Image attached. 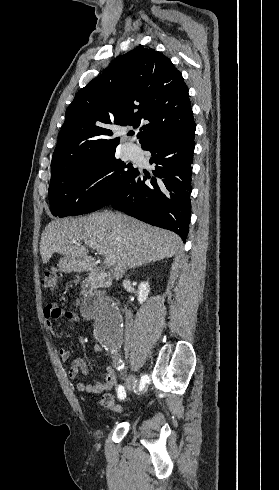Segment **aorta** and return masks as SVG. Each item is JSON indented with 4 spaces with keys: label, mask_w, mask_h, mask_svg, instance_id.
Masks as SVG:
<instances>
[{
    "label": "aorta",
    "mask_w": 279,
    "mask_h": 490,
    "mask_svg": "<svg viewBox=\"0 0 279 490\" xmlns=\"http://www.w3.org/2000/svg\"><path fill=\"white\" fill-rule=\"evenodd\" d=\"M122 316L118 307L111 301H102L97 310L95 333L106 345L116 344L122 336Z\"/></svg>",
    "instance_id": "obj_1"
}]
</instances>
